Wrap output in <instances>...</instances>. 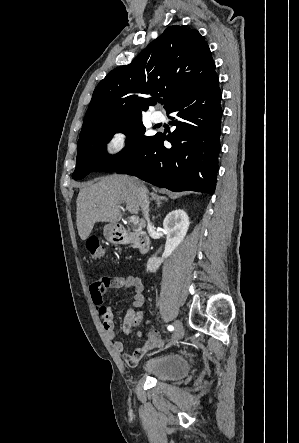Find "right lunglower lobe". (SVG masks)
<instances>
[{
	"label": "right lung lower lobe",
	"mask_w": 299,
	"mask_h": 443,
	"mask_svg": "<svg viewBox=\"0 0 299 443\" xmlns=\"http://www.w3.org/2000/svg\"><path fill=\"white\" fill-rule=\"evenodd\" d=\"M221 91L214 74L196 91L173 104L174 132L166 139L157 133L147 149L133 162L116 171L136 176L172 191L214 193L220 150Z\"/></svg>",
	"instance_id": "1"
}]
</instances>
